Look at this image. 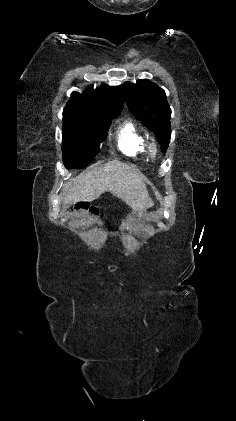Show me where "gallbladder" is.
<instances>
[{
  "label": "gallbladder",
  "mask_w": 236,
  "mask_h": 421,
  "mask_svg": "<svg viewBox=\"0 0 236 421\" xmlns=\"http://www.w3.org/2000/svg\"><path fill=\"white\" fill-rule=\"evenodd\" d=\"M68 206H70L69 202H65V200H62L61 208H68Z\"/></svg>",
  "instance_id": "gallbladder-1"
}]
</instances>
